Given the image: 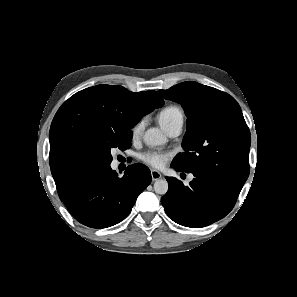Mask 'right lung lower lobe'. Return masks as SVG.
I'll use <instances>...</instances> for the list:
<instances>
[{
	"instance_id": "right-lung-lower-lobe-1",
	"label": "right lung lower lobe",
	"mask_w": 297,
	"mask_h": 297,
	"mask_svg": "<svg viewBox=\"0 0 297 297\" xmlns=\"http://www.w3.org/2000/svg\"><path fill=\"white\" fill-rule=\"evenodd\" d=\"M151 180L143 164L129 165L123 177L108 165L85 172L59 197L81 224L106 228L126 218Z\"/></svg>"
}]
</instances>
